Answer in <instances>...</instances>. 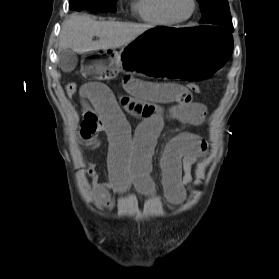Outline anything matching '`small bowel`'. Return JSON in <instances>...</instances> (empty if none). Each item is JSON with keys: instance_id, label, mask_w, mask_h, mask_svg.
<instances>
[{"instance_id": "1", "label": "small bowel", "mask_w": 279, "mask_h": 279, "mask_svg": "<svg viewBox=\"0 0 279 279\" xmlns=\"http://www.w3.org/2000/svg\"><path fill=\"white\" fill-rule=\"evenodd\" d=\"M123 86L127 95L118 97L98 82L87 83L79 91L83 106L81 139L88 148L97 150L101 146L100 134L108 138L109 179L101 181L93 165L87 171L93 196L105 207L111 205V191H124L131 185L141 192L153 193L151 159L165 125H200L207 114L205 105L193 101L182 85L148 82L129 73ZM124 112L141 119L133 135ZM207 152L206 141L193 133H181L165 146L160 165L163 191L170 203L185 200L186 188L193 181L192 167Z\"/></svg>"}]
</instances>
